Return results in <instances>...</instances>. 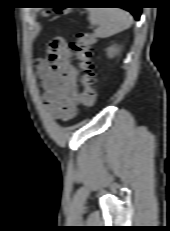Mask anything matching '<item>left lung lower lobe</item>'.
I'll return each instance as SVG.
<instances>
[{"mask_svg": "<svg viewBox=\"0 0 170 231\" xmlns=\"http://www.w3.org/2000/svg\"><path fill=\"white\" fill-rule=\"evenodd\" d=\"M119 5H121L120 8L126 9L129 12H131L136 20H139L141 14V7L137 6V2L128 1L125 3H120Z\"/></svg>", "mask_w": 170, "mask_h": 231, "instance_id": "0a47b994", "label": "left lung lower lobe"}]
</instances>
